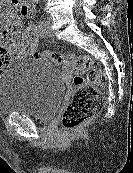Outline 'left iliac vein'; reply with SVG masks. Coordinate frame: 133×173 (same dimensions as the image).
<instances>
[{
    "label": "left iliac vein",
    "mask_w": 133,
    "mask_h": 173,
    "mask_svg": "<svg viewBox=\"0 0 133 173\" xmlns=\"http://www.w3.org/2000/svg\"><path fill=\"white\" fill-rule=\"evenodd\" d=\"M43 37H51L52 36V32H51V24L50 21H45V26H44V30L42 33Z\"/></svg>",
    "instance_id": "obj_1"
}]
</instances>
